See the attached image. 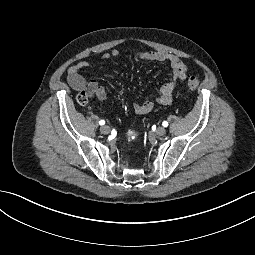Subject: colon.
<instances>
[{
	"instance_id": "colon-1",
	"label": "colon",
	"mask_w": 255,
	"mask_h": 255,
	"mask_svg": "<svg viewBox=\"0 0 255 255\" xmlns=\"http://www.w3.org/2000/svg\"><path fill=\"white\" fill-rule=\"evenodd\" d=\"M200 84V80L198 77L196 76H191L188 78V81H187V87L190 91H194L198 88ZM77 101L81 104V105H86L89 101V97H88V94L82 90L78 96H77Z\"/></svg>"
}]
</instances>
